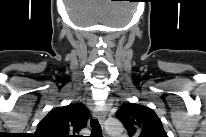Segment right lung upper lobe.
<instances>
[{
    "instance_id": "1",
    "label": "right lung upper lobe",
    "mask_w": 206,
    "mask_h": 137,
    "mask_svg": "<svg viewBox=\"0 0 206 137\" xmlns=\"http://www.w3.org/2000/svg\"><path fill=\"white\" fill-rule=\"evenodd\" d=\"M88 109L82 104H70L52 109L38 124L37 137H74L86 127Z\"/></svg>"
}]
</instances>
